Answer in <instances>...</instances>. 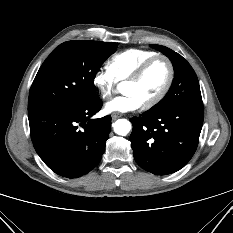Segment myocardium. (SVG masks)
Wrapping results in <instances>:
<instances>
[{"label": "myocardium", "mask_w": 233, "mask_h": 233, "mask_svg": "<svg viewBox=\"0 0 233 233\" xmlns=\"http://www.w3.org/2000/svg\"><path fill=\"white\" fill-rule=\"evenodd\" d=\"M158 59H163L164 61H166L167 65H168V78H167V81H166L163 89L161 90V92L154 99L142 104V106L145 109H149V108H152V107H155L156 105H158L166 97L169 90L171 89L174 78H175V69H174V65H173L171 59L166 55L157 54V55L147 59L146 61H144L134 71V73L130 77H128L124 82V83H137L142 78V76L144 75V73L146 72L148 67Z\"/></svg>", "instance_id": "myocardium-1"}]
</instances>
